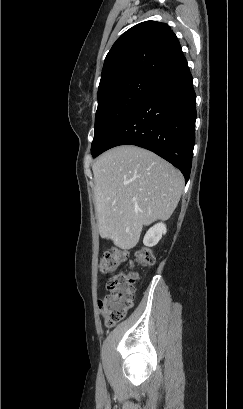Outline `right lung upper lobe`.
Wrapping results in <instances>:
<instances>
[{"label":"right lung upper lobe","instance_id":"obj_1","mask_svg":"<svg viewBox=\"0 0 243 409\" xmlns=\"http://www.w3.org/2000/svg\"><path fill=\"white\" fill-rule=\"evenodd\" d=\"M185 57L165 23L145 21L123 33L107 54L98 98L113 84L145 76L160 80Z\"/></svg>","mask_w":243,"mask_h":409}]
</instances>
